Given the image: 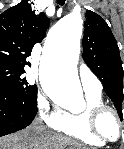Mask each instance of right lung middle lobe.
<instances>
[{
    "mask_svg": "<svg viewBox=\"0 0 124 149\" xmlns=\"http://www.w3.org/2000/svg\"><path fill=\"white\" fill-rule=\"evenodd\" d=\"M23 70L16 68L0 66V86L21 94L28 98L32 103H36L37 86L28 85L26 78L22 77Z\"/></svg>",
    "mask_w": 124,
    "mask_h": 149,
    "instance_id": "1",
    "label": "right lung middle lobe"
}]
</instances>
